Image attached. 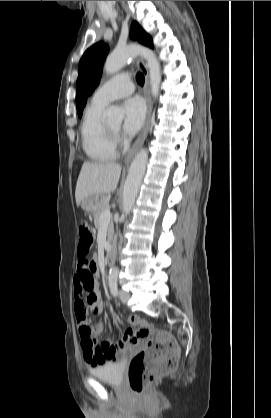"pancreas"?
I'll return each instance as SVG.
<instances>
[{
  "label": "pancreas",
  "mask_w": 271,
  "mask_h": 418,
  "mask_svg": "<svg viewBox=\"0 0 271 418\" xmlns=\"http://www.w3.org/2000/svg\"><path fill=\"white\" fill-rule=\"evenodd\" d=\"M108 205H109V203H108L107 198L106 197H101L100 203H99L98 207L96 208V210L93 213L94 224H95L96 228H99L101 226L100 216H101L102 212L108 208ZM112 234H113V223L109 222L108 228H107L108 240L111 239Z\"/></svg>",
  "instance_id": "pancreas-1"
}]
</instances>
